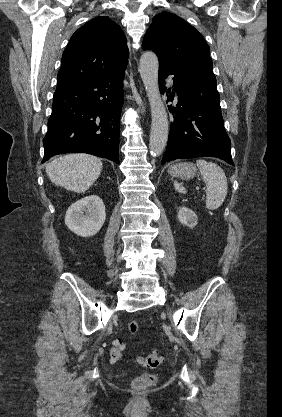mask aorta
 <instances>
[{"mask_svg":"<svg viewBox=\"0 0 282 417\" xmlns=\"http://www.w3.org/2000/svg\"><path fill=\"white\" fill-rule=\"evenodd\" d=\"M159 60L155 52L147 50L140 56L139 72L151 106V132L149 148L153 156L162 154L168 140V116L160 96L158 84Z\"/></svg>","mask_w":282,"mask_h":417,"instance_id":"1","label":"aorta"}]
</instances>
